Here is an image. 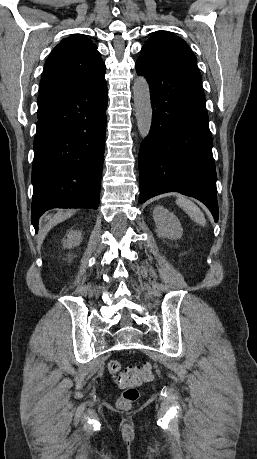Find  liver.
<instances>
[{
  "label": "liver",
  "instance_id": "obj_1",
  "mask_svg": "<svg viewBox=\"0 0 257 459\" xmlns=\"http://www.w3.org/2000/svg\"><path fill=\"white\" fill-rule=\"evenodd\" d=\"M50 216L46 217V220L49 219Z\"/></svg>",
  "mask_w": 257,
  "mask_h": 459
}]
</instances>
